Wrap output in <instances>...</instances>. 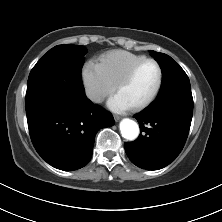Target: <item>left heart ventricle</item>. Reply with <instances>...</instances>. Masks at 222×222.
<instances>
[{"instance_id": "obj_1", "label": "left heart ventricle", "mask_w": 222, "mask_h": 222, "mask_svg": "<svg viewBox=\"0 0 222 222\" xmlns=\"http://www.w3.org/2000/svg\"><path fill=\"white\" fill-rule=\"evenodd\" d=\"M158 82V70L153 63H146L135 73L132 80L119 89L132 106L144 102L154 91Z\"/></svg>"}]
</instances>
